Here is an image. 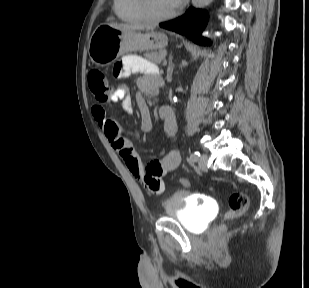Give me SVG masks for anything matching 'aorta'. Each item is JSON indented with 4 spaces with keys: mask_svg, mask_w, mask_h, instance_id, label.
Returning <instances> with one entry per match:
<instances>
[{
    "mask_svg": "<svg viewBox=\"0 0 309 288\" xmlns=\"http://www.w3.org/2000/svg\"><path fill=\"white\" fill-rule=\"evenodd\" d=\"M212 0H192V4L196 8H203L210 4Z\"/></svg>",
    "mask_w": 309,
    "mask_h": 288,
    "instance_id": "obj_1",
    "label": "aorta"
}]
</instances>
